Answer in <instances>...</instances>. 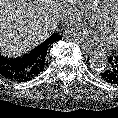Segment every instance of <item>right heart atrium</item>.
I'll return each instance as SVG.
<instances>
[{
    "label": "right heart atrium",
    "instance_id": "obj_1",
    "mask_svg": "<svg viewBox=\"0 0 118 118\" xmlns=\"http://www.w3.org/2000/svg\"><path fill=\"white\" fill-rule=\"evenodd\" d=\"M60 20L66 25H72L81 20V0H62Z\"/></svg>",
    "mask_w": 118,
    "mask_h": 118
}]
</instances>
